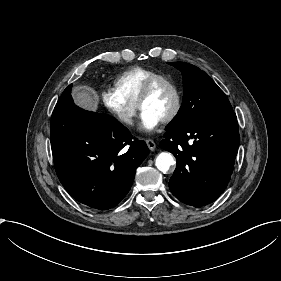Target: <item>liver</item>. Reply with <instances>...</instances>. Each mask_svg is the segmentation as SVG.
Returning <instances> with one entry per match:
<instances>
[{"mask_svg": "<svg viewBox=\"0 0 281 281\" xmlns=\"http://www.w3.org/2000/svg\"><path fill=\"white\" fill-rule=\"evenodd\" d=\"M71 97L74 104L88 112L97 113L99 110V102L96 96L89 89L84 87H74L71 91Z\"/></svg>", "mask_w": 281, "mask_h": 281, "instance_id": "obj_1", "label": "liver"}]
</instances>
